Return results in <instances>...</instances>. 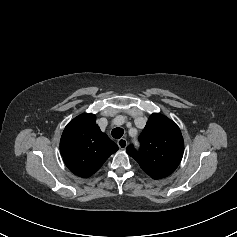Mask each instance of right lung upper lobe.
I'll list each match as a JSON object with an SVG mask.
<instances>
[{
	"label": "right lung upper lobe",
	"instance_id": "cb5924a9",
	"mask_svg": "<svg viewBox=\"0 0 237 237\" xmlns=\"http://www.w3.org/2000/svg\"><path fill=\"white\" fill-rule=\"evenodd\" d=\"M118 146L96 124L93 114H81L65 127L60 151L68 169L87 178L100 169Z\"/></svg>",
	"mask_w": 237,
	"mask_h": 237
}]
</instances>
